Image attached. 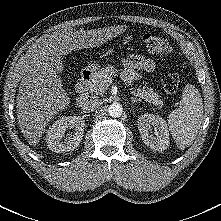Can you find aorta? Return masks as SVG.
Here are the masks:
<instances>
[{"label": "aorta", "instance_id": "aorta-1", "mask_svg": "<svg viewBox=\"0 0 221 221\" xmlns=\"http://www.w3.org/2000/svg\"><path fill=\"white\" fill-rule=\"evenodd\" d=\"M108 113L113 118H118L123 113V107L119 103H113L108 107Z\"/></svg>", "mask_w": 221, "mask_h": 221}]
</instances>
